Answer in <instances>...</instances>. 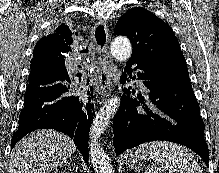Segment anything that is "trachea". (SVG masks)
<instances>
[{
	"instance_id": "trachea-1",
	"label": "trachea",
	"mask_w": 219,
	"mask_h": 173,
	"mask_svg": "<svg viewBox=\"0 0 219 173\" xmlns=\"http://www.w3.org/2000/svg\"><path fill=\"white\" fill-rule=\"evenodd\" d=\"M83 53H88V50L86 49V50H84V51H82Z\"/></svg>"
}]
</instances>
